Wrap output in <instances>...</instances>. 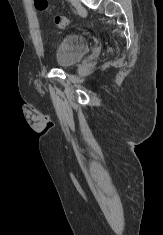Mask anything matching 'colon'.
<instances>
[{
    "mask_svg": "<svg viewBox=\"0 0 163 235\" xmlns=\"http://www.w3.org/2000/svg\"><path fill=\"white\" fill-rule=\"evenodd\" d=\"M35 7L42 12H46L49 10V5L47 0H34ZM55 25L63 29L69 24V20L65 16L57 15L54 19Z\"/></svg>",
    "mask_w": 163,
    "mask_h": 235,
    "instance_id": "5ec220e1",
    "label": "colon"
}]
</instances>
